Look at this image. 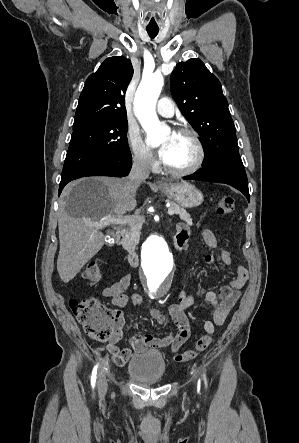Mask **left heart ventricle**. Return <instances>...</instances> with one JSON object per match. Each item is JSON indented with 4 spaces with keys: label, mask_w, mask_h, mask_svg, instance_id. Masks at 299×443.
<instances>
[{
    "label": "left heart ventricle",
    "mask_w": 299,
    "mask_h": 443,
    "mask_svg": "<svg viewBox=\"0 0 299 443\" xmlns=\"http://www.w3.org/2000/svg\"><path fill=\"white\" fill-rule=\"evenodd\" d=\"M161 146H166V154L162 160L172 168H184L189 166L195 156L196 150L190 136L185 134H166L161 142Z\"/></svg>",
    "instance_id": "1"
}]
</instances>
